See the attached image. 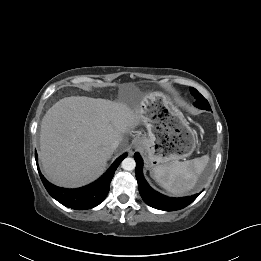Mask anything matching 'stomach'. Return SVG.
Wrapping results in <instances>:
<instances>
[{"label":"stomach","mask_w":261,"mask_h":261,"mask_svg":"<svg viewBox=\"0 0 261 261\" xmlns=\"http://www.w3.org/2000/svg\"><path fill=\"white\" fill-rule=\"evenodd\" d=\"M143 123L148 135L138 138L150 168L184 159L196 148L195 131L168 96L150 93L144 99Z\"/></svg>","instance_id":"1"}]
</instances>
